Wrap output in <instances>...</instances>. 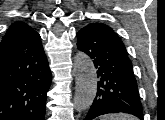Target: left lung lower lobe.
Segmentation results:
<instances>
[{
    "mask_svg": "<svg viewBox=\"0 0 165 120\" xmlns=\"http://www.w3.org/2000/svg\"><path fill=\"white\" fill-rule=\"evenodd\" d=\"M77 47L88 54L97 69V94L85 120L124 112L142 117L133 66L118 35L108 26L90 23L77 33Z\"/></svg>",
    "mask_w": 165,
    "mask_h": 120,
    "instance_id": "left-lung-lower-lobe-1",
    "label": "left lung lower lobe"
}]
</instances>
